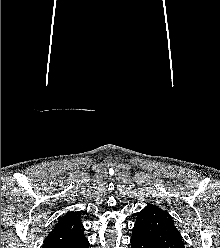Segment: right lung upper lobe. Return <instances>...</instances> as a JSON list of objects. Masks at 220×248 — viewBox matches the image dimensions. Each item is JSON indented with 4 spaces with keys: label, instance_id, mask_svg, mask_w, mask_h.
I'll return each instance as SVG.
<instances>
[{
    "label": "right lung upper lobe",
    "instance_id": "obj_1",
    "mask_svg": "<svg viewBox=\"0 0 220 248\" xmlns=\"http://www.w3.org/2000/svg\"><path fill=\"white\" fill-rule=\"evenodd\" d=\"M84 227L77 212H68L43 242L42 248H66L85 239Z\"/></svg>",
    "mask_w": 220,
    "mask_h": 248
}]
</instances>
